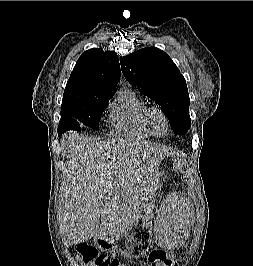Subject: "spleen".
<instances>
[{
    "instance_id": "spleen-1",
    "label": "spleen",
    "mask_w": 253,
    "mask_h": 266,
    "mask_svg": "<svg viewBox=\"0 0 253 266\" xmlns=\"http://www.w3.org/2000/svg\"><path fill=\"white\" fill-rule=\"evenodd\" d=\"M181 198L189 196L188 191L180 193ZM193 211L189 207H160L154 215V235L157 246L180 248L191 241V234L186 233L187 224L191 223Z\"/></svg>"
}]
</instances>
